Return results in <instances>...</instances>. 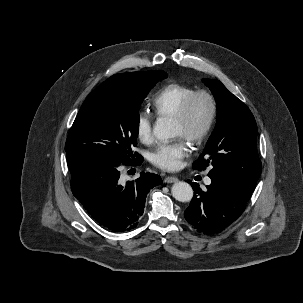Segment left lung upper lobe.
Wrapping results in <instances>:
<instances>
[{"label": "left lung upper lobe", "instance_id": "obj_1", "mask_svg": "<svg viewBox=\"0 0 303 303\" xmlns=\"http://www.w3.org/2000/svg\"><path fill=\"white\" fill-rule=\"evenodd\" d=\"M217 104V121L203 153L193 169L220 174L236 180L251 190L261 174L257 152V125L249 108L218 80L203 79Z\"/></svg>", "mask_w": 303, "mask_h": 303}]
</instances>
